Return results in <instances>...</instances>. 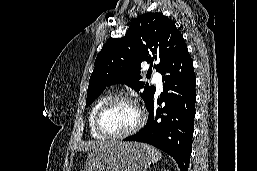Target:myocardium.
Returning <instances> with one entry per match:
<instances>
[{
  "mask_svg": "<svg viewBox=\"0 0 257 171\" xmlns=\"http://www.w3.org/2000/svg\"><path fill=\"white\" fill-rule=\"evenodd\" d=\"M122 102L130 103L137 109L138 114H139V120H138L137 124L129 131H126V132L120 133V134L109 133L102 127L101 119H102L104 113L110 107H112L115 104L122 103ZM145 122H146V113L143 110V108L141 107V105L138 103V101L135 98L128 96V95H119V96L111 97L110 99L105 101L100 106V108L98 109L96 116H95L94 126H95L96 131L99 134H101L102 136H104L105 138L123 139V138L129 137V136L137 133L145 125Z\"/></svg>",
  "mask_w": 257,
  "mask_h": 171,
  "instance_id": "1",
  "label": "myocardium"
}]
</instances>
